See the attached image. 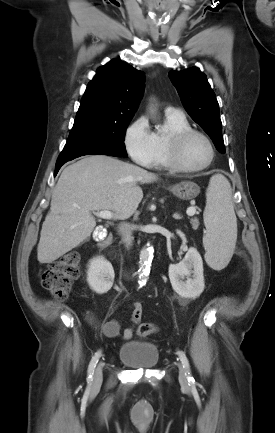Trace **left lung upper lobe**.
Here are the masks:
<instances>
[{
    "mask_svg": "<svg viewBox=\"0 0 275 433\" xmlns=\"http://www.w3.org/2000/svg\"><path fill=\"white\" fill-rule=\"evenodd\" d=\"M169 77L185 110L210 136L218 151L225 153L219 105L206 75L199 68L191 67L182 71H170Z\"/></svg>",
    "mask_w": 275,
    "mask_h": 433,
    "instance_id": "5c2ea615",
    "label": "left lung upper lobe"
}]
</instances>
